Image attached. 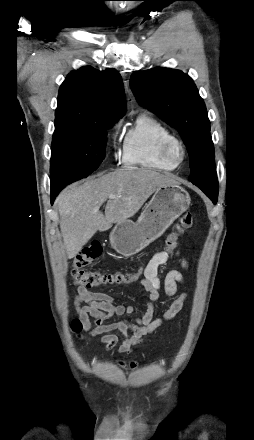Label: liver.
I'll list each match as a JSON object with an SVG mask.
<instances>
[{"instance_id":"1","label":"liver","mask_w":254,"mask_h":440,"mask_svg":"<svg viewBox=\"0 0 254 440\" xmlns=\"http://www.w3.org/2000/svg\"><path fill=\"white\" fill-rule=\"evenodd\" d=\"M168 184L177 182L151 169L128 167L64 189L56 203L68 258L75 257L97 231L134 216L159 187ZM105 201L103 215L99 210Z\"/></svg>"}]
</instances>
